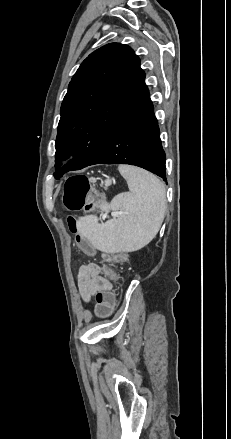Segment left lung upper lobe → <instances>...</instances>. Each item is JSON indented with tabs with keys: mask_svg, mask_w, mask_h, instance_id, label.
Masks as SVG:
<instances>
[{
	"mask_svg": "<svg viewBox=\"0 0 231 439\" xmlns=\"http://www.w3.org/2000/svg\"><path fill=\"white\" fill-rule=\"evenodd\" d=\"M140 59L127 45L91 53L74 74L61 105L56 179L86 167L145 85ZM61 167V162L68 160Z\"/></svg>",
	"mask_w": 231,
	"mask_h": 439,
	"instance_id": "obj_1",
	"label": "left lung upper lobe"
}]
</instances>
